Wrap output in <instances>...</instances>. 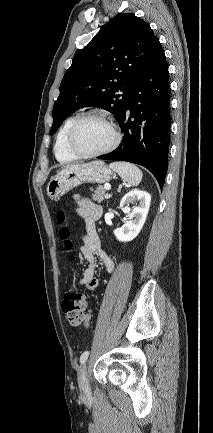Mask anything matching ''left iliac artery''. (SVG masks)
<instances>
[{"mask_svg":"<svg viewBox=\"0 0 213 433\" xmlns=\"http://www.w3.org/2000/svg\"><path fill=\"white\" fill-rule=\"evenodd\" d=\"M88 356H89V351L83 352L81 357H80V363L84 364L85 361L87 360Z\"/></svg>","mask_w":213,"mask_h":433,"instance_id":"obj_1","label":"left iliac artery"}]
</instances>
